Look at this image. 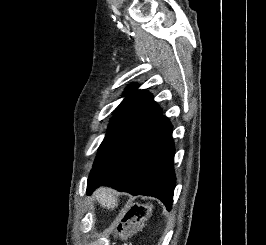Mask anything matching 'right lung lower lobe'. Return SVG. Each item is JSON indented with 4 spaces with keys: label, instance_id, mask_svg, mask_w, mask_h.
Returning <instances> with one entry per match:
<instances>
[{
    "label": "right lung lower lobe",
    "instance_id": "obj_1",
    "mask_svg": "<svg viewBox=\"0 0 266 245\" xmlns=\"http://www.w3.org/2000/svg\"><path fill=\"white\" fill-rule=\"evenodd\" d=\"M172 125L165 116L146 122L90 172L87 193L111 186L132 195L153 196L171 210L175 173Z\"/></svg>",
    "mask_w": 266,
    "mask_h": 245
}]
</instances>
